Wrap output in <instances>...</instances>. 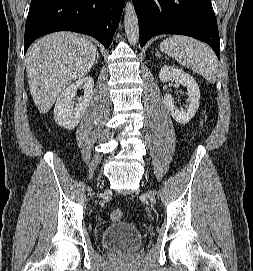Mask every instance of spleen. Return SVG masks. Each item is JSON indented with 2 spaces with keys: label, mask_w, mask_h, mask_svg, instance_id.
I'll return each mask as SVG.
<instances>
[{
  "label": "spleen",
  "mask_w": 253,
  "mask_h": 271,
  "mask_svg": "<svg viewBox=\"0 0 253 271\" xmlns=\"http://www.w3.org/2000/svg\"><path fill=\"white\" fill-rule=\"evenodd\" d=\"M160 50L211 83L216 82L218 61L206 44L191 37L173 35L161 42Z\"/></svg>",
  "instance_id": "3e777b00"
}]
</instances>
